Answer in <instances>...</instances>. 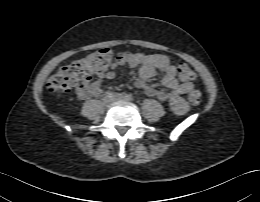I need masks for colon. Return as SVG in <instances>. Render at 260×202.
<instances>
[{
  "mask_svg": "<svg viewBox=\"0 0 260 202\" xmlns=\"http://www.w3.org/2000/svg\"><path fill=\"white\" fill-rule=\"evenodd\" d=\"M115 54L110 48H103L89 53L68 65L61 67L50 77L47 87L50 91L69 93L72 90H81L93 75L105 71L111 64ZM178 74L182 81L190 82L196 78L195 72L185 63L178 65ZM193 104L199 103L201 93L193 89L188 94Z\"/></svg>",
  "mask_w": 260,
  "mask_h": 202,
  "instance_id": "1",
  "label": "colon"
}]
</instances>
